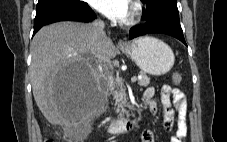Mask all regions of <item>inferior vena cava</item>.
I'll return each instance as SVG.
<instances>
[{
	"label": "inferior vena cava",
	"instance_id": "inferior-vena-cava-1",
	"mask_svg": "<svg viewBox=\"0 0 227 142\" xmlns=\"http://www.w3.org/2000/svg\"><path fill=\"white\" fill-rule=\"evenodd\" d=\"M92 30V37L95 41H100L106 37L104 32L105 24L101 20H95L90 24Z\"/></svg>",
	"mask_w": 227,
	"mask_h": 142
}]
</instances>
